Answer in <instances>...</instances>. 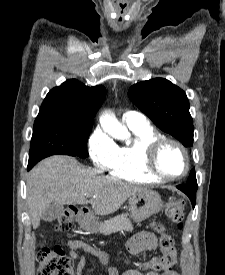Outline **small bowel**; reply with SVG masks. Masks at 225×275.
<instances>
[{
	"label": "small bowel",
	"mask_w": 225,
	"mask_h": 275,
	"mask_svg": "<svg viewBox=\"0 0 225 275\" xmlns=\"http://www.w3.org/2000/svg\"><path fill=\"white\" fill-rule=\"evenodd\" d=\"M158 239L156 235L152 232H140L135 235L129 242H128V250L133 255H139L147 251L156 250L158 248ZM84 251V255H80L79 251ZM68 253L71 259L77 261V275H82L83 272L87 268V256H94L96 257L101 263L105 264L107 260V255L92 246L88 243L78 240L72 239L68 242ZM109 275H118L113 268H107ZM122 275H160L157 272L150 271L147 273H142L137 270H128ZM161 275H180L179 272L176 270H169Z\"/></svg>",
	"instance_id": "small-bowel-1"
}]
</instances>
